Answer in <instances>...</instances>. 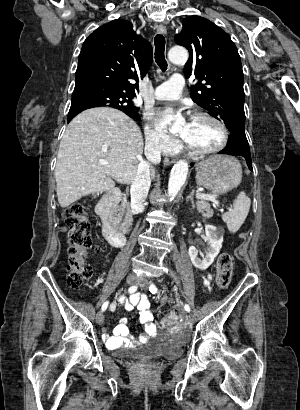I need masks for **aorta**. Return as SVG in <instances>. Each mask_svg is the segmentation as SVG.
Returning <instances> with one entry per match:
<instances>
[{
	"mask_svg": "<svg viewBox=\"0 0 300 410\" xmlns=\"http://www.w3.org/2000/svg\"><path fill=\"white\" fill-rule=\"evenodd\" d=\"M168 58L174 64H185L188 60V52L183 47H173L168 52ZM180 124V120H177L173 127L177 128ZM187 174L188 163L186 161L180 160L173 166L168 182V196L170 199L177 196L186 181Z\"/></svg>",
	"mask_w": 300,
	"mask_h": 410,
	"instance_id": "762f6f07",
	"label": "aorta"
}]
</instances>
